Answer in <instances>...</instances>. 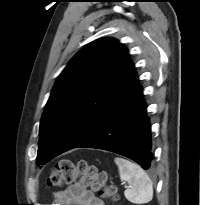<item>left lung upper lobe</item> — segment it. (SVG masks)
Segmentation results:
<instances>
[{
    "label": "left lung upper lobe",
    "mask_w": 200,
    "mask_h": 205,
    "mask_svg": "<svg viewBox=\"0 0 200 205\" xmlns=\"http://www.w3.org/2000/svg\"><path fill=\"white\" fill-rule=\"evenodd\" d=\"M128 50L118 41H94L59 75L39 128L37 165L73 149L88 135L119 90L130 67Z\"/></svg>",
    "instance_id": "5c2ea615"
}]
</instances>
